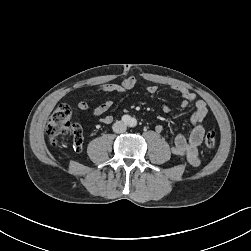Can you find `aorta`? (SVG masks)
I'll return each mask as SVG.
<instances>
[{
    "mask_svg": "<svg viewBox=\"0 0 251 251\" xmlns=\"http://www.w3.org/2000/svg\"><path fill=\"white\" fill-rule=\"evenodd\" d=\"M136 124V120L134 118L131 119V125L134 126Z\"/></svg>",
    "mask_w": 251,
    "mask_h": 251,
    "instance_id": "762f6f07",
    "label": "aorta"
}]
</instances>
